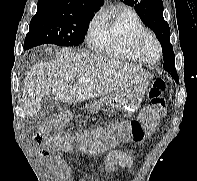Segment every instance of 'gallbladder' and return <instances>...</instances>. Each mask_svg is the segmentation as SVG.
Returning a JSON list of instances; mask_svg holds the SVG:
<instances>
[{"instance_id":"bac80fb5","label":"gallbladder","mask_w":197,"mask_h":181,"mask_svg":"<svg viewBox=\"0 0 197 181\" xmlns=\"http://www.w3.org/2000/svg\"><path fill=\"white\" fill-rule=\"evenodd\" d=\"M55 101L51 99L49 96H44L41 100V109H40V115L50 111V109L53 108Z\"/></svg>"}]
</instances>
